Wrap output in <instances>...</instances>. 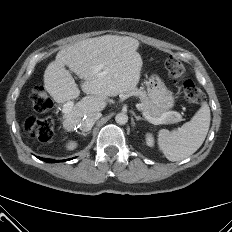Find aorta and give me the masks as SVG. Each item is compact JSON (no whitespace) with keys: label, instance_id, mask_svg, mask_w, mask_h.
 <instances>
[{"label":"aorta","instance_id":"1","mask_svg":"<svg viewBox=\"0 0 232 232\" xmlns=\"http://www.w3.org/2000/svg\"><path fill=\"white\" fill-rule=\"evenodd\" d=\"M115 121L117 124L119 125H124L128 122V116L127 114L121 112V113H118L116 116H115Z\"/></svg>","mask_w":232,"mask_h":232}]
</instances>
